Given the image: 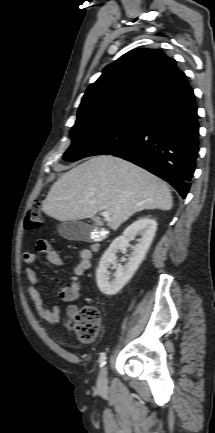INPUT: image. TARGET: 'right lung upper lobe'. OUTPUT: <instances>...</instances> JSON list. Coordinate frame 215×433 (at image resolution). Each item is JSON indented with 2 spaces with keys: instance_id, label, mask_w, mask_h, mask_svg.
<instances>
[{
  "instance_id": "obj_1",
  "label": "right lung upper lobe",
  "mask_w": 215,
  "mask_h": 433,
  "mask_svg": "<svg viewBox=\"0 0 215 433\" xmlns=\"http://www.w3.org/2000/svg\"><path fill=\"white\" fill-rule=\"evenodd\" d=\"M188 85L176 61L161 50H131L109 64L100 78L88 87L76 123L144 115Z\"/></svg>"
}]
</instances>
